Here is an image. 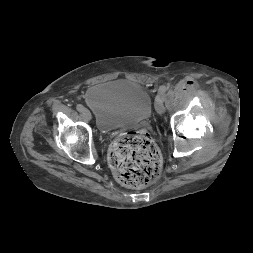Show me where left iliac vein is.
Returning a JSON list of instances; mask_svg holds the SVG:
<instances>
[{
  "mask_svg": "<svg viewBox=\"0 0 253 253\" xmlns=\"http://www.w3.org/2000/svg\"><path fill=\"white\" fill-rule=\"evenodd\" d=\"M155 109L157 111V113L161 114L164 111V105H163V101L160 95H158L156 97L155 100Z\"/></svg>",
  "mask_w": 253,
  "mask_h": 253,
  "instance_id": "4c4485c4",
  "label": "left iliac vein"
}]
</instances>
